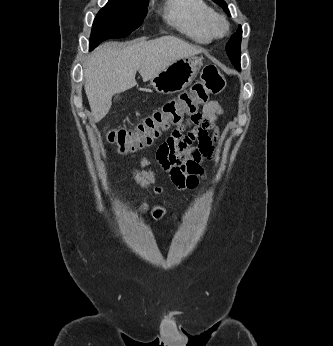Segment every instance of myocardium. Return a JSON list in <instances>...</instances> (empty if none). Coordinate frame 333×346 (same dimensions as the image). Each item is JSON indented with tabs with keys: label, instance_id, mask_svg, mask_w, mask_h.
<instances>
[{
	"label": "myocardium",
	"instance_id": "myocardium-1",
	"mask_svg": "<svg viewBox=\"0 0 333 346\" xmlns=\"http://www.w3.org/2000/svg\"><path fill=\"white\" fill-rule=\"evenodd\" d=\"M210 30L214 37H223L229 32V23L221 14H214L210 20Z\"/></svg>",
	"mask_w": 333,
	"mask_h": 346
}]
</instances>
